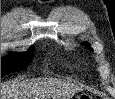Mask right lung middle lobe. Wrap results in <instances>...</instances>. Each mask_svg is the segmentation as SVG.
Returning a JSON list of instances; mask_svg holds the SVG:
<instances>
[{
  "mask_svg": "<svg viewBox=\"0 0 115 99\" xmlns=\"http://www.w3.org/2000/svg\"><path fill=\"white\" fill-rule=\"evenodd\" d=\"M34 52V46H31L28 52L10 54L7 59H1V77L16 71H21L27 68L31 63Z\"/></svg>",
  "mask_w": 115,
  "mask_h": 99,
  "instance_id": "right-lung-middle-lobe-1",
  "label": "right lung middle lobe"
}]
</instances>
